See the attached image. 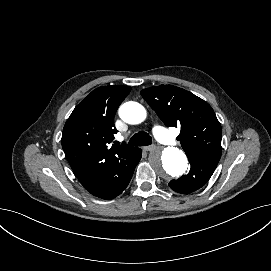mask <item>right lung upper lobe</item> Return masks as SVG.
Listing matches in <instances>:
<instances>
[{"label": "right lung upper lobe", "instance_id": "right-lung-upper-lobe-1", "mask_svg": "<svg viewBox=\"0 0 271 271\" xmlns=\"http://www.w3.org/2000/svg\"><path fill=\"white\" fill-rule=\"evenodd\" d=\"M130 90L129 86L114 85L93 90L75 107L64 126L62 148L84 187L136 149L113 142L117 133L114 115Z\"/></svg>", "mask_w": 271, "mask_h": 271}]
</instances>
